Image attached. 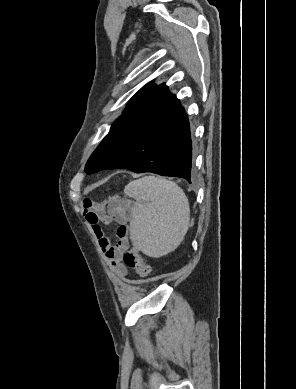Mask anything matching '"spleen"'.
<instances>
[{
  "label": "spleen",
  "instance_id": "spleen-1",
  "mask_svg": "<svg viewBox=\"0 0 296 389\" xmlns=\"http://www.w3.org/2000/svg\"><path fill=\"white\" fill-rule=\"evenodd\" d=\"M136 200L131 209L130 239L145 255L159 258L175 250L189 226V204L174 182L155 176L133 180L125 186Z\"/></svg>",
  "mask_w": 296,
  "mask_h": 389
}]
</instances>
